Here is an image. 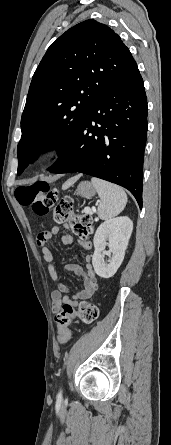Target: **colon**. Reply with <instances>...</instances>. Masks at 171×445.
Returning <instances> with one entry per match:
<instances>
[{"instance_id":"obj_1","label":"colon","mask_w":171,"mask_h":445,"mask_svg":"<svg viewBox=\"0 0 171 445\" xmlns=\"http://www.w3.org/2000/svg\"><path fill=\"white\" fill-rule=\"evenodd\" d=\"M15 195L22 206L31 208L39 216L51 214L56 223L70 228L73 234L81 239L87 238L93 231V218L88 214L75 213L73 200L69 197H60L45 182L21 186L16 190ZM73 316H77L84 324L89 325L98 318L99 310L94 304L83 302L77 312L66 307L56 313L54 319L60 328L61 342L67 341V328Z\"/></svg>"}]
</instances>
